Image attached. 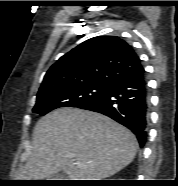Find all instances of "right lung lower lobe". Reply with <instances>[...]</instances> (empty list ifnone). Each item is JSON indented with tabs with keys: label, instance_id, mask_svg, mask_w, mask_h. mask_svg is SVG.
Returning <instances> with one entry per match:
<instances>
[{
	"label": "right lung lower lobe",
	"instance_id": "right-lung-lower-lobe-1",
	"mask_svg": "<svg viewBox=\"0 0 178 186\" xmlns=\"http://www.w3.org/2000/svg\"><path fill=\"white\" fill-rule=\"evenodd\" d=\"M78 108L104 114L129 128L143 146L147 137L149 96L145 70L124 74L96 98Z\"/></svg>",
	"mask_w": 178,
	"mask_h": 186
}]
</instances>
